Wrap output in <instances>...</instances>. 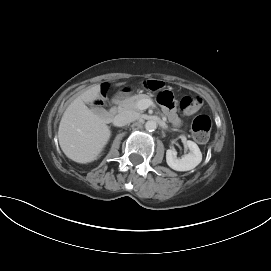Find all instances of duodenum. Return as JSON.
Here are the masks:
<instances>
[{"label": "duodenum", "instance_id": "obj_1", "mask_svg": "<svg viewBox=\"0 0 271 271\" xmlns=\"http://www.w3.org/2000/svg\"><path fill=\"white\" fill-rule=\"evenodd\" d=\"M121 98L122 97L120 95H118L114 98L113 105H112V107H110V109L107 111V114H106L107 120L111 121L115 117V115L117 113V104L120 102Z\"/></svg>", "mask_w": 271, "mask_h": 271}]
</instances>
